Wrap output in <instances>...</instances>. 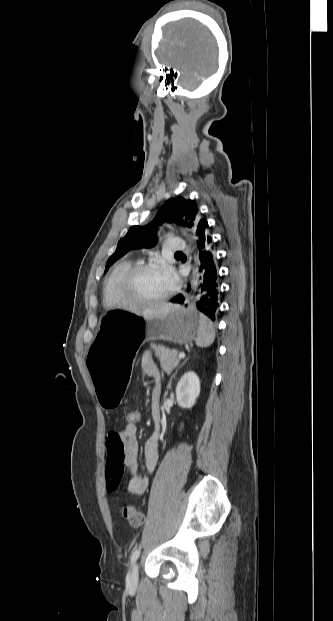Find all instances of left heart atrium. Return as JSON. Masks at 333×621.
<instances>
[{"instance_id":"39dd6f15","label":"left heart atrium","mask_w":333,"mask_h":621,"mask_svg":"<svg viewBox=\"0 0 333 621\" xmlns=\"http://www.w3.org/2000/svg\"><path fill=\"white\" fill-rule=\"evenodd\" d=\"M165 275L168 278L170 284L171 285L174 284V281H175L174 275L171 272H168V271L165 272Z\"/></svg>"}]
</instances>
